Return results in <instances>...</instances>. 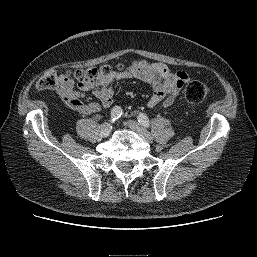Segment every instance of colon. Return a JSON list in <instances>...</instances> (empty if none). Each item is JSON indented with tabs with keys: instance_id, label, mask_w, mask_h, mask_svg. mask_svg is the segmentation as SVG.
Returning a JSON list of instances; mask_svg holds the SVG:
<instances>
[{
	"instance_id": "colon-1",
	"label": "colon",
	"mask_w": 257,
	"mask_h": 257,
	"mask_svg": "<svg viewBox=\"0 0 257 257\" xmlns=\"http://www.w3.org/2000/svg\"><path fill=\"white\" fill-rule=\"evenodd\" d=\"M111 72L110 66L102 65L75 69L70 72V75L80 84H94ZM57 85L58 76L54 71L46 72L38 81V87L42 90L54 89ZM209 93V87L200 81L188 82L184 90L185 99L189 103H200L208 97Z\"/></svg>"
}]
</instances>
